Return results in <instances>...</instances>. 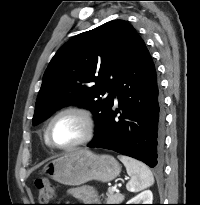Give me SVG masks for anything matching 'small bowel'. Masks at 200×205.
<instances>
[{"label": "small bowel", "mask_w": 200, "mask_h": 205, "mask_svg": "<svg viewBox=\"0 0 200 205\" xmlns=\"http://www.w3.org/2000/svg\"><path fill=\"white\" fill-rule=\"evenodd\" d=\"M69 194L76 197V198H79L82 200H87V201L95 200V198H96L94 191L84 189V188L71 189L69 191Z\"/></svg>", "instance_id": "small-bowel-1"}]
</instances>
